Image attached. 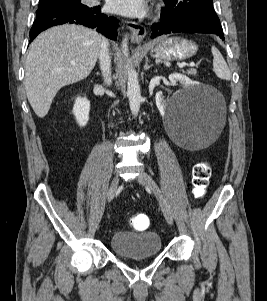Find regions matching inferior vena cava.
Segmentation results:
<instances>
[{"instance_id":"1","label":"inferior vena cava","mask_w":267,"mask_h":301,"mask_svg":"<svg viewBox=\"0 0 267 301\" xmlns=\"http://www.w3.org/2000/svg\"><path fill=\"white\" fill-rule=\"evenodd\" d=\"M108 41L103 38L101 42L100 52H99V61L100 68L102 70V75L104 83L107 85L111 84V58L108 51Z\"/></svg>"}]
</instances>
